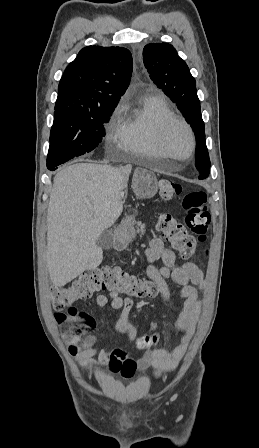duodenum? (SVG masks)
Listing matches in <instances>:
<instances>
[{"label": "duodenum", "instance_id": "duodenum-1", "mask_svg": "<svg viewBox=\"0 0 259 448\" xmlns=\"http://www.w3.org/2000/svg\"><path fill=\"white\" fill-rule=\"evenodd\" d=\"M125 244V233L123 229H119L116 233L114 247L119 250L124 247Z\"/></svg>", "mask_w": 259, "mask_h": 448}]
</instances>
